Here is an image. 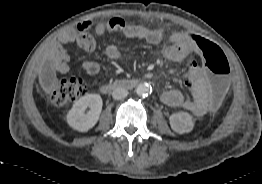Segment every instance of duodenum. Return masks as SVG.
<instances>
[{
    "label": "duodenum",
    "mask_w": 262,
    "mask_h": 184,
    "mask_svg": "<svg viewBox=\"0 0 262 184\" xmlns=\"http://www.w3.org/2000/svg\"><path fill=\"white\" fill-rule=\"evenodd\" d=\"M138 80L135 79H124L115 83H105L102 85L101 90L104 93H108L117 88H131L138 84Z\"/></svg>",
    "instance_id": "obj_1"
}]
</instances>
